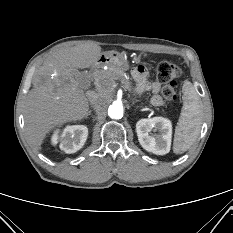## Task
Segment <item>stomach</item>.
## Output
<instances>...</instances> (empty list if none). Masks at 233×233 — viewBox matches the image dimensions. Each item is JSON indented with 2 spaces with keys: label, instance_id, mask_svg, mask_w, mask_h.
Instances as JSON below:
<instances>
[{
  "label": "stomach",
  "instance_id": "0dacf381",
  "mask_svg": "<svg viewBox=\"0 0 233 233\" xmlns=\"http://www.w3.org/2000/svg\"><path fill=\"white\" fill-rule=\"evenodd\" d=\"M99 61L101 65H108L111 68H118L123 71L129 68L126 56L117 51H109L101 54Z\"/></svg>",
  "mask_w": 233,
  "mask_h": 233
}]
</instances>
